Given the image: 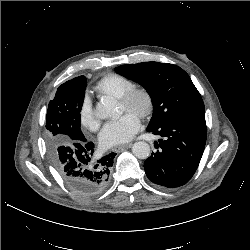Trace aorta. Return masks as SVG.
Instances as JSON below:
<instances>
[{
	"label": "aorta",
	"mask_w": 250,
	"mask_h": 250,
	"mask_svg": "<svg viewBox=\"0 0 250 250\" xmlns=\"http://www.w3.org/2000/svg\"><path fill=\"white\" fill-rule=\"evenodd\" d=\"M118 114L117 102L109 97L103 98L96 107V115L99 118H110ZM132 153L139 159H146L150 156V146L144 141H138L133 144Z\"/></svg>",
	"instance_id": "obj_1"
}]
</instances>
